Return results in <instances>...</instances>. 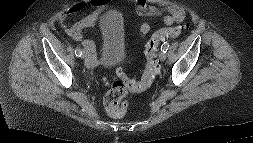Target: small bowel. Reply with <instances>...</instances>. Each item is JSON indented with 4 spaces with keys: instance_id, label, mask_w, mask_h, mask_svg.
Here are the masks:
<instances>
[{
    "instance_id": "1",
    "label": "small bowel",
    "mask_w": 253,
    "mask_h": 143,
    "mask_svg": "<svg viewBox=\"0 0 253 143\" xmlns=\"http://www.w3.org/2000/svg\"><path fill=\"white\" fill-rule=\"evenodd\" d=\"M110 3L111 0H85L83 2H78L64 11L59 16L58 21L70 38L75 41L82 42L84 48L89 49L92 54L94 50L93 42L91 40L84 39L83 32L94 26L98 16L109 7ZM89 9L92 10L90 15L76 21L72 25L65 24L68 17ZM135 9L139 15L162 17L164 24L167 26H171L174 23H180L185 18L184 10L176 5L156 6L147 3L145 0H137ZM150 30V24L143 23L139 29L140 37L145 38L149 34ZM88 63H93V57Z\"/></svg>"
}]
</instances>
